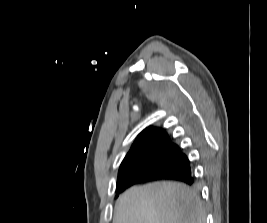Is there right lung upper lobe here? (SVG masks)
Here are the masks:
<instances>
[{
    "label": "right lung upper lobe",
    "mask_w": 267,
    "mask_h": 223,
    "mask_svg": "<svg viewBox=\"0 0 267 223\" xmlns=\"http://www.w3.org/2000/svg\"><path fill=\"white\" fill-rule=\"evenodd\" d=\"M166 149H180L172 142L168 134L162 128L148 127L136 138L131 149L125 156L119 176L125 174L126 167L133 162L145 161L154 157L159 151Z\"/></svg>",
    "instance_id": "right-lung-upper-lobe-1"
}]
</instances>
